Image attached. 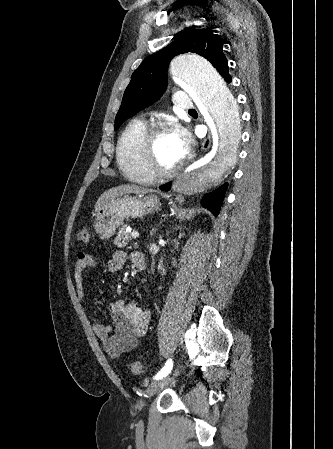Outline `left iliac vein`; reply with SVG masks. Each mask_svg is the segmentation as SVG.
<instances>
[{"instance_id": "4c4485c4", "label": "left iliac vein", "mask_w": 333, "mask_h": 449, "mask_svg": "<svg viewBox=\"0 0 333 449\" xmlns=\"http://www.w3.org/2000/svg\"><path fill=\"white\" fill-rule=\"evenodd\" d=\"M169 377H164L158 380H154L151 382V384L147 388V394L149 396H153L158 392L160 389H162L168 382Z\"/></svg>"}]
</instances>
